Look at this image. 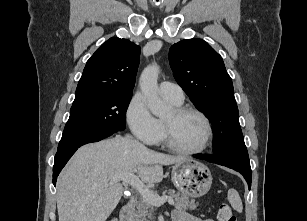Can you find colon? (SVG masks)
<instances>
[{
  "mask_svg": "<svg viewBox=\"0 0 307 221\" xmlns=\"http://www.w3.org/2000/svg\"><path fill=\"white\" fill-rule=\"evenodd\" d=\"M217 219L218 221H236L232 208L226 203H220L217 206Z\"/></svg>",
  "mask_w": 307,
  "mask_h": 221,
  "instance_id": "5ec220e1",
  "label": "colon"
}]
</instances>
